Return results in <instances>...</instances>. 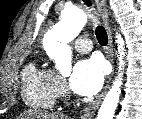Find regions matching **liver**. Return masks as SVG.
<instances>
[{
    "instance_id": "6515ba94",
    "label": "liver",
    "mask_w": 142,
    "mask_h": 119,
    "mask_svg": "<svg viewBox=\"0 0 142 119\" xmlns=\"http://www.w3.org/2000/svg\"><path fill=\"white\" fill-rule=\"evenodd\" d=\"M20 119H69L68 116L58 115L55 113L41 112V111H28L19 117Z\"/></svg>"
}]
</instances>
